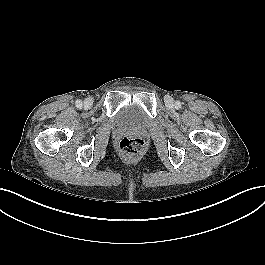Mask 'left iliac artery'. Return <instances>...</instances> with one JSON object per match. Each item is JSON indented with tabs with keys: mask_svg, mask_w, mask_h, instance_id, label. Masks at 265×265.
I'll list each match as a JSON object with an SVG mask.
<instances>
[{
	"mask_svg": "<svg viewBox=\"0 0 265 265\" xmlns=\"http://www.w3.org/2000/svg\"><path fill=\"white\" fill-rule=\"evenodd\" d=\"M175 108H176V109L181 108V102H180V101H177V102L175 103Z\"/></svg>",
	"mask_w": 265,
	"mask_h": 265,
	"instance_id": "obj_1",
	"label": "left iliac artery"
}]
</instances>
